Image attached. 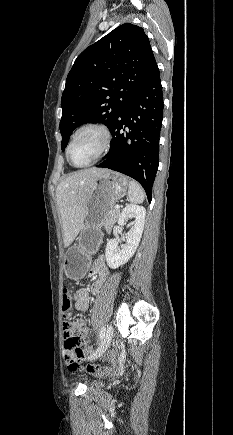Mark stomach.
Masks as SVG:
<instances>
[{
  "label": "stomach",
  "instance_id": "stomach-1",
  "mask_svg": "<svg viewBox=\"0 0 233 435\" xmlns=\"http://www.w3.org/2000/svg\"><path fill=\"white\" fill-rule=\"evenodd\" d=\"M128 179L111 170L97 177L86 204L83 226L77 243L70 247L63 260L66 275L73 280L82 279L89 268L92 254L96 251L109 211L127 192Z\"/></svg>",
  "mask_w": 233,
  "mask_h": 435
}]
</instances>
